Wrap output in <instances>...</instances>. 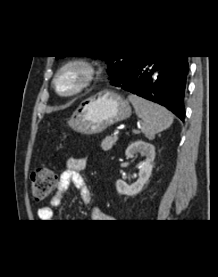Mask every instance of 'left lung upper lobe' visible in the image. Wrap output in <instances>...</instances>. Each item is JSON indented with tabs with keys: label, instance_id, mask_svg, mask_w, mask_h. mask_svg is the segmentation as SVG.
Returning <instances> with one entry per match:
<instances>
[{
	"label": "left lung upper lobe",
	"instance_id": "1",
	"mask_svg": "<svg viewBox=\"0 0 218 277\" xmlns=\"http://www.w3.org/2000/svg\"><path fill=\"white\" fill-rule=\"evenodd\" d=\"M94 58H100L105 60L108 64V75L112 78L114 75L122 72L127 66L132 56H92ZM58 58V56H57Z\"/></svg>",
	"mask_w": 218,
	"mask_h": 277
}]
</instances>
